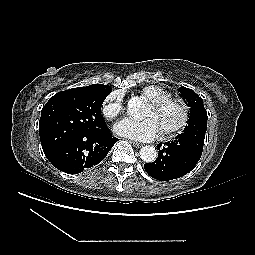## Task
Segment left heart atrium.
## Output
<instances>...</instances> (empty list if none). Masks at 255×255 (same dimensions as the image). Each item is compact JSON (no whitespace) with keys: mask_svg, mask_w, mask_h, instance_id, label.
<instances>
[{"mask_svg":"<svg viewBox=\"0 0 255 255\" xmlns=\"http://www.w3.org/2000/svg\"><path fill=\"white\" fill-rule=\"evenodd\" d=\"M114 130L119 135L138 141H151L162 134L158 121L153 117L143 120L125 118L115 125Z\"/></svg>","mask_w":255,"mask_h":255,"instance_id":"39dd6f15","label":"left heart atrium"}]
</instances>
